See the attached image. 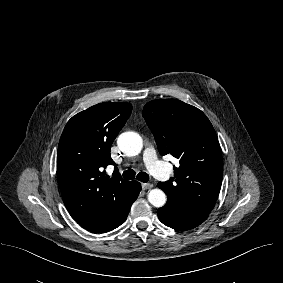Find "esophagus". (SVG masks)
<instances>
[{"label":"esophagus","mask_w":283,"mask_h":283,"mask_svg":"<svg viewBox=\"0 0 283 283\" xmlns=\"http://www.w3.org/2000/svg\"><path fill=\"white\" fill-rule=\"evenodd\" d=\"M152 187H153V184H150V183H143L142 184L143 190H148V189H151Z\"/></svg>","instance_id":"34e87169"}]
</instances>
